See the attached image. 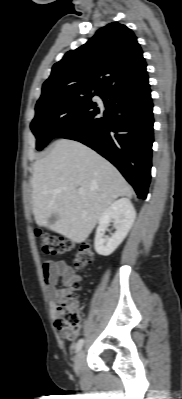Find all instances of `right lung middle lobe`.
<instances>
[{
  "mask_svg": "<svg viewBox=\"0 0 182 399\" xmlns=\"http://www.w3.org/2000/svg\"><path fill=\"white\" fill-rule=\"evenodd\" d=\"M94 95L98 94L61 96L37 102L31 123L37 150H42L54 137L80 127L95 116L99 109L92 99Z\"/></svg>",
  "mask_w": 182,
  "mask_h": 399,
  "instance_id": "1",
  "label": "right lung middle lobe"
}]
</instances>
